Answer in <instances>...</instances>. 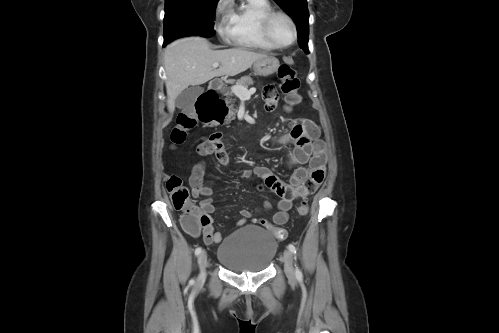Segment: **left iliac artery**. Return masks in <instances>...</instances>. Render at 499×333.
I'll list each match as a JSON object with an SVG mask.
<instances>
[{
	"mask_svg": "<svg viewBox=\"0 0 499 333\" xmlns=\"http://www.w3.org/2000/svg\"><path fill=\"white\" fill-rule=\"evenodd\" d=\"M288 249H289V250H290V251H291V252H292V253L296 256V254H297V249H296V247H295L293 244H289V245H288ZM295 274H296V278H297L298 280H301V279H302L303 275H302L301 270H300L298 267H296Z\"/></svg>",
	"mask_w": 499,
	"mask_h": 333,
	"instance_id": "1",
	"label": "left iliac artery"
}]
</instances>
